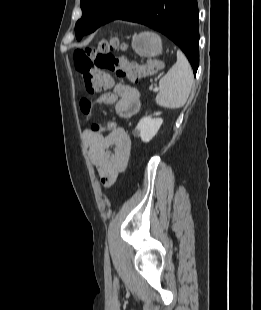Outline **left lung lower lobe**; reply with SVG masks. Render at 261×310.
Returning <instances> with one entry per match:
<instances>
[{"mask_svg": "<svg viewBox=\"0 0 261 310\" xmlns=\"http://www.w3.org/2000/svg\"><path fill=\"white\" fill-rule=\"evenodd\" d=\"M198 17L197 0H131L116 19L140 23L166 35L183 50L196 74L199 65ZM101 25L104 23L88 25L77 40Z\"/></svg>", "mask_w": 261, "mask_h": 310, "instance_id": "left-lung-lower-lobe-1", "label": "left lung lower lobe"}]
</instances>
